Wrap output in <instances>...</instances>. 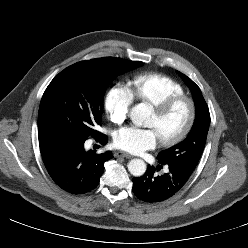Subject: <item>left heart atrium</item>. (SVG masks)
I'll use <instances>...</instances> for the list:
<instances>
[{
	"mask_svg": "<svg viewBox=\"0 0 248 248\" xmlns=\"http://www.w3.org/2000/svg\"><path fill=\"white\" fill-rule=\"evenodd\" d=\"M158 142L159 138L153 128L127 126L118 130L114 136L115 146L130 153L153 149Z\"/></svg>",
	"mask_w": 248,
	"mask_h": 248,
	"instance_id": "39dd6f15",
	"label": "left heart atrium"
}]
</instances>
